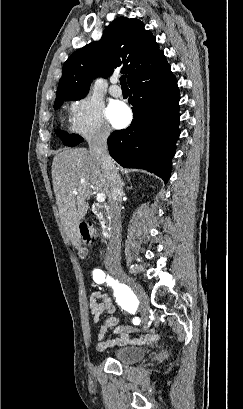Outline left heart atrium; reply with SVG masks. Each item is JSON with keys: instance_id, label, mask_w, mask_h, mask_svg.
<instances>
[{"instance_id": "left-heart-atrium-1", "label": "left heart atrium", "mask_w": 243, "mask_h": 409, "mask_svg": "<svg viewBox=\"0 0 243 409\" xmlns=\"http://www.w3.org/2000/svg\"><path fill=\"white\" fill-rule=\"evenodd\" d=\"M106 115L110 123L116 128L126 126L130 119L131 113L126 105L120 102L112 103L106 111Z\"/></svg>"}]
</instances>
